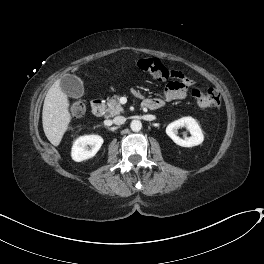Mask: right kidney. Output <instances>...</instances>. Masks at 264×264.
<instances>
[{
    "label": "right kidney",
    "instance_id": "1",
    "mask_svg": "<svg viewBox=\"0 0 264 264\" xmlns=\"http://www.w3.org/2000/svg\"><path fill=\"white\" fill-rule=\"evenodd\" d=\"M103 144L99 135H86L79 137L73 144L71 156L76 162H81L95 156Z\"/></svg>",
    "mask_w": 264,
    "mask_h": 264
}]
</instances>
